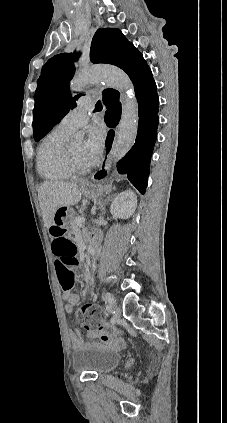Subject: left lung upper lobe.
I'll list each match as a JSON object with an SVG mask.
<instances>
[{"label": "left lung upper lobe", "mask_w": 227, "mask_h": 423, "mask_svg": "<svg viewBox=\"0 0 227 423\" xmlns=\"http://www.w3.org/2000/svg\"><path fill=\"white\" fill-rule=\"evenodd\" d=\"M79 54H59L51 58L42 68L37 81L33 109V130L35 141L40 140L76 105L78 94L72 98L68 84L75 71L74 60ZM90 59L93 63H109L123 69L130 77L134 88L151 72L142 54L128 42L120 30L98 29L95 33ZM119 92L114 89L103 91L102 101L107 110L121 106Z\"/></svg>", "instance_id": "1"}]
</instances>
